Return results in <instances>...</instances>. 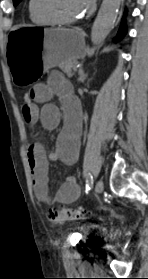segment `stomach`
Here are the masks:
<instances>
[{
	"label": "stomach",
	"instance_id": "0dacf381",
	"mask_svg": "<svg viewBox=\"0 0 148 279\" xmlns=\"http://www.w3.org/2000/svg\"><path fill=\"white\" fill-rule=\"evenodd\" d=\"M6 39L8 49L6 69L14 78L15 87H36L45 72L68 60L85 56L83 33L76 29H46V25H21L10 30ZM42 49V50H35Z\"/></svg>",
	"mask_w": 148,
	"mask_h": 279
}]
</instances>
